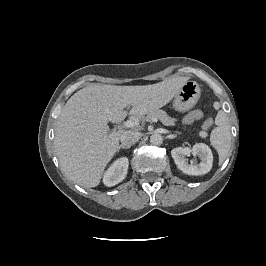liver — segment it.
Segmentation results:
<instances>
[{
    "instance_id": "1",
    "label": "liver",
    "mask_w": 266,
    "mask_h": 266,
    "mask_svg": "<svg viewBox=\"0 0 266 266\" xmlns=\"http://www.w3.org/2000/svg\"><path fill=\"white\" fill-rule=\"evenodd\" d=\"M188 80L167 78L143 86L90 84L64 105L57 121L54 147L65 176L83 187L99 185L117 152L123 130L110 132L128 114L142 116L166 105ZM131 106L129 113L125 110Z\"/></svg>"
}]
</instances>
